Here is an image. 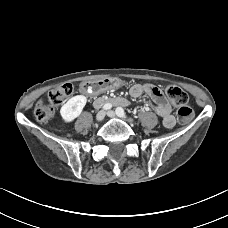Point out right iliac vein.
I'll use <instances>...</instances> for the list:
<instances>
[{
  "instance_id": "right-iliac-vein-1",
  "label": "right iliac vein",
  "mask_w": 228,
  "mask_h": 228,
  "mask_svg": "<svg viewBox=\"0 0 228 228\" xmlns=\"http://www.w3.org/2000/svg\"><path fill=\"white\" fill-rule=\"evenodd\" d=\"M106 112L104 110H101L96 115V120L98 122L102 121L105 118Z\"/></svg>"
}]
</instances>
